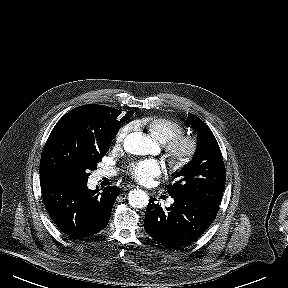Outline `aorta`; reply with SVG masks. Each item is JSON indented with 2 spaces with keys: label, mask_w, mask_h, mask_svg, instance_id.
I'll list each match as a JSON object with an SVG mask.
<instances>
[{
  "label": "aorta",
  "mask_w": 288,
  "mask_h": 288,
  "mask_svg": "<svg viewBox=\"0 0 288 288\" xmlns=\"http://www.w3.org/2000/svg\"><path fill=\"white\" fill-rule=\"evenodd\" d=\"M155 143L141 132L129 134L124 141V149L134 155H148L155 149ZM128 201L133 208H143L149 202L147 193L134 189L128 194Z\"/></svg>",
  "instance_id": "1"
}]
</instances>
